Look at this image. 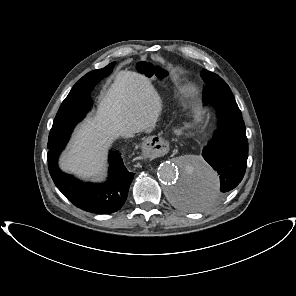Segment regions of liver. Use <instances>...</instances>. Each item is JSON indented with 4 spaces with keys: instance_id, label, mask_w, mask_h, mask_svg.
I'll use <instances>...</instances> for the list:
<instances>
[{
    "instance_id": "1",
    "label": "liver",
    "mask_w": 296,
    "mask_h": 296,
    "mask_svg": "<svg viewBox=\"0 0 296 296\" xmlns=\"http://www.w3.org/2000/svg\"><path fill=\"white\" fill-rule=\"evenodd\" d=\"M161 111V98L148 78L136 72H119L102 97L97 115L76 130L69 150L61 159V168L83 178L100 175L106 147L119 132L150 129Z\"/></svg>"
}]
</instances>
